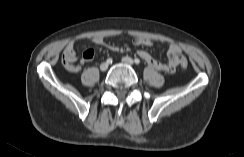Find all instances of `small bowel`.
I'll list each match as a JSON object with an SVG mask.
<instances>
[{
    "instance_id": "small-bowel-1",
    "label": "small bowel",
    "mask_w": 244,
    "mask_h": 157,
    "mask_svg": "<svg viewBox=\"0 0 244 157\" xmlns=\"http://www.w3.org/2000/svg\"><path fill=\"white\" fill-rule=\"evenodd\" d=\"M91 42L101 45V46H106L109 50L115 51V52H127L129 51V48L126 46H117V45H107L105 44V41L102 37H93L90 39ZM77 41H71L67 44L66 48L64 51L67 52H75V46H76ZM134 45L136 46H152L153 41L149 38L145 37H137L133 40ZM138 56L151 68L161 71L164 73H174L180 64L182 55H181V49L178 45L174 43H170L168 47V61L166 63L157 61L154 59L150 53L144 50L138 51ZM94 57V51L89 49L86 50L83 53V58L85 61L89 62L93 59Z\"/></svg>"
}]
</instances>
